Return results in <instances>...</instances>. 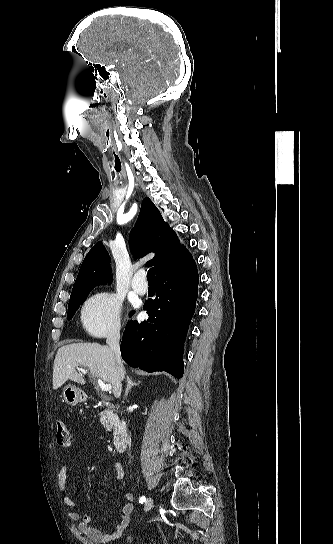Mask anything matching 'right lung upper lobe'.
<instances>
[{"instance_id": "cb5924a9", "label": "right lung upper lobe", "mask_w": 333, "mask_h": 544, "mask_svg": "<svg viewBox=\"0 0 333 544\" xmlns=\"http://www.w3.org/2000/svg\"><path fill=\"white\" fill-rule=\"evenodd\" d=\"M129 242L131 252L137 257L155 252L154 258L148 264L154 265L156 277L194 261L148 197L142 201L140 214L130 233ZM111 279L110 257L100 241L86 255L71 296L92 290L99 284L107 282L110 284Z\"/></svg>"}]
</instances>
